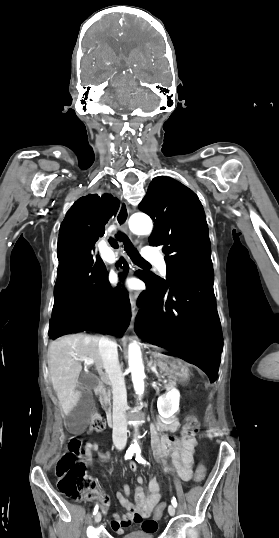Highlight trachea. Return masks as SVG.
Instances as JSON below:
<instances>
[{
	"mask_svg": "<svg viewBox=\"0 0 279 538\" xmlns=\"http://www.w3.org/2000/svg\"><path fill=\"white\" fill-rule=\"evenodd\" d=\"M118 241L123 242L124 248L131 260H133L134 262H138L139 264H148V262H146V260H144V258L139 255L136 248L133 246L129 238L124 233L119 232L115 235V238H109L108 240L109 244L113 248L119 247Z\"/></svg>",
	"mask_w": 279,
	"mask_h": 538,
	"instance_id": "trachea-1",
	"label": "trachea"
}]
</instances>
